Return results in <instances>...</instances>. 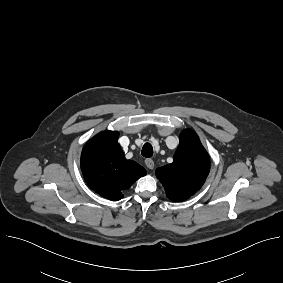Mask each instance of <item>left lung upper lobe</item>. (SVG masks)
<instances>
[{"label": "left lung upper lobe", "mask_w": 283, "mask_h": 283, "mask_svg": "<svg viewBox=\"0 0 283 283\" xmlns=\"http://www.w3.org/2000/svg\"><path fill=\"white\" fill-rule=\"evenodd\" d=\"M210 169L208 153L197 134L184 130L174 161L156 169V176L165 187L166 195L173 201H181L196 193L204 184Z\"/></svg>", "instance_id": "5c2ea615"}]
</instances>
